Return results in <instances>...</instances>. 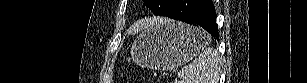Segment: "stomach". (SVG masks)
Masks as SVG:
<instances>
[{
	"label": "stomach",
	"instance_id": "obj_1",
	"mask_svg": "<svg viewBox=\"0 0 307 83\" xmlns=\"http://www.w3.org/2000/svg\"><path fill=\"white\" fill-rule=\"evenodd\" d=\"M207 35L198 27L169 20L140 34L132 45L131 58L153 69L177 68L208 45Z\"/></svg>",
	"mask_w": 307,
	"mask_h": 83
}]
</instances>
